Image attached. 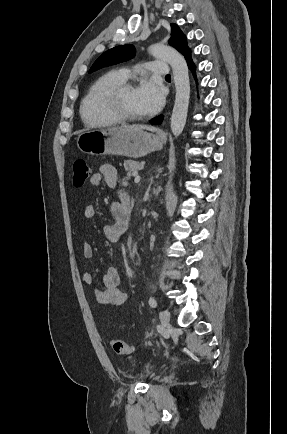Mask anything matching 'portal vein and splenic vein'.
I'll list each match as a JSON object with an SVG mask.
<instances>
[{
    "label": "portal vein and splenic vein",
    "instance_id": "portal-vein-and-splenic-vein-1",
    "mask_svg": "<svg viewBox=\"0 0 287 434\" xmlns=\"http://www.w3.org/2000/svg\"><path fill=\"white\" fill-rule=\"evenodd\" d=\"M134 176H135L134 182L139 183L140 182V176L138 175V173H135Z\"/></svg>",
    "mask_w": 287,
    "mask_h": 434
}]
</instances>
